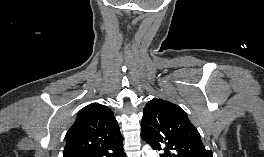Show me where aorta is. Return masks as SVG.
Instances as JSON below:
<instances>
[{
  "mask_svg": "<svg viewBox=\"0 0 264 157\" xmlns=\"http://www.w3.org/2000/svg\"><path fill=\"white\" fill-rule=\"evenodd\" d=\"M142 151L144 157H157L156 153L151 150L148 146H145Z\"/></svg>",
  "mask_w": 264,
  "mask_h": 157,
  "instance_id": "obj_1",
  "label": "aorta"
}]
</instances>
